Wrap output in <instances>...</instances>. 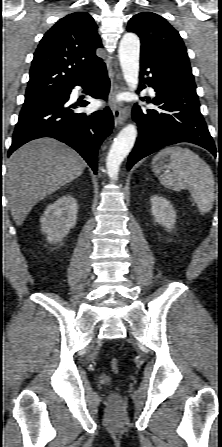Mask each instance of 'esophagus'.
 <instances>
[{"instance_id": "1", "label": "esophagus", "mask_w": 222, "mask_h": 447, "mask_svg": "<svg viewBox=\"0 0 222 447\" xmlns=\"http://www.w3.org/2000/svg\"><path fill=\"white\" fill-rule=\"evenodd\" d=\"M124 89H125L124 85L122 83H120L117 79H115L112 82L110 97H109V104L112 109L114 123H115L116 127L119 125H122L129 116L128 106L124 103L116 104V102H115L116 94L118 92L123 91Z\"/></svg>"}]
</instances>
